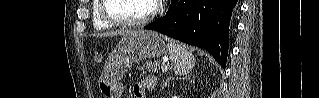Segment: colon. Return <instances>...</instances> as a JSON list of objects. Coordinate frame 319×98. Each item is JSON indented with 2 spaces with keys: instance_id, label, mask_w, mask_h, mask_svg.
<instances>
[{
  "instance_id": "1",
  "label": "colon",
  "mask_w": 319,
  "mask_h": 98,
  "mask_svg": "<svg viewBox=\"0 0 319 98\" xmlns=\"http://www.w3.org/2000/svg\"><path fill=\"white\" fill-rule=\"evenodd\" d=\"M90 56L96 63H100L102 61V55L100 51L96 48H92L90 50Z\"/></svg>"
}]
</instances>
